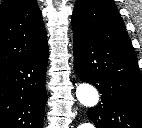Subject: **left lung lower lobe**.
I'll use <instances>...</instances> for the list:
<instances>
[{
  "label": "left lung lower lobe",
  "mask_w": 142,
  "mask_h": 128,
  "mask_svg": "<svg viewBox=\"0 0 142 128\" xmlns=\"http://www.w3.org/2000/svg\"><path fill=\"white\" fill-rule=\"evenodd\" d=\"M73 32L78 77L102 94L101 103L88 110V118L96 128H142V75L136 54Z\"/></svg>",
  "instance_id": "obj_1"
}]
</instances>
